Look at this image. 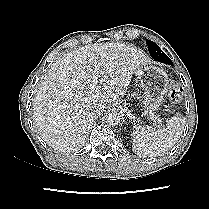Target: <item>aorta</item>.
<instances>
[{"mask_svg":"<svg viewBox=\"0 0 209 209\" xmlns=\"http://www.w3.org/2000/svg\"><path fill=\"white\" fill-rule=\"evenodd\" d=\"M105 120L110 126H117L122 122V115L120 112L112 111L105 115Z\"/></svg>","mask_w":209,"mask_h":209,"instance_id":"aorta-1","label":"aorta"}]
</instances>
